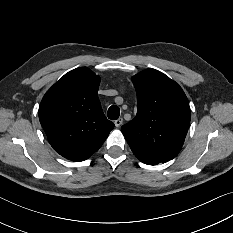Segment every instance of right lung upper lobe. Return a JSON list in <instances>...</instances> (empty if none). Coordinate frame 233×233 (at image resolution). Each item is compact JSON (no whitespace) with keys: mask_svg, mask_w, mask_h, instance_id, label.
I'll use <instances>...</instances> for the list:
<instances>
[{"mask_svg":"<svg viewBox=\"0 0 233 233\" xmlns=\"http://www.w3.org/2000/svg\"><path fill=\"white\" fill-rule=\"evenodd\" d=\"M100 78L87 67L65 74L44 95L40 123L53 149L74 162L96 152L114 127L98 98Z\"/></svg>","mask_w":233,"mask_h":233,"instance_id":"cb5924a9","label":"right lung upper lobe"}]
</instances>
